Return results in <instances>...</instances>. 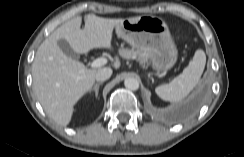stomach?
<instances>
[{
    "label": "stomach",
    "instance_id": "1",
    "mask_svg": "<svg viewBox=\"0 0 244 157\" xmlns=\"http://www.w3.org/2000/svg\"><path fill=\"white\" fill-rule=\"evenodd\" d=\"M116 33L134 50L145 53L157 73L175 65L178 50L162 18L150 15L127 18L116 27Z\"/></svg>",
    "mask_w": 244,
    "mask_h": 157
}]
</instances>
